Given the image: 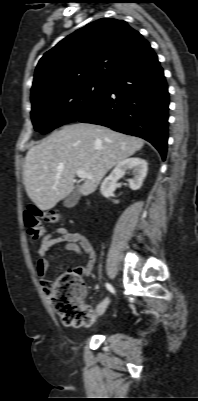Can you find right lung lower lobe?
<instances>
[{"instance_id": "98d812e1", "label": "right lung lower lobe", "mask_w": 198, "mask_h": 401, "mask_svg": "<svg viewBox=\"0 0 198 401\" xmlns=\"http://www.w3.org/2000/svg\"><path fill=\"white\" fill-rule=\"evenodd\" d=\"M169 95L163 69L150 48L108 81L101 99L76 121L141 137L165 160Z\"/></svg>"}]
</instances>
